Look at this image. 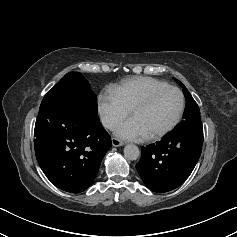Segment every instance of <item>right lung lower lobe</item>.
Segmentation results:
<instances>
[{
	"instance_id": "obj_1",
	"label": "right lung lower lobe",
	"mask_w": 237,
	"mask_h": 237,
	"mask_svg": "<svg viewBox=\"0 0 237 237\" xmlns=\"http://www.w3.org/2000/svg\"><path fill=\"white\" fill-rule=\"evenodd\" d=\"M34 135L42 171L56 187L71 193L91 185L112 146L97 115L78 112L52 95L42 100Z\"/></svg>"
}]
</instances>
